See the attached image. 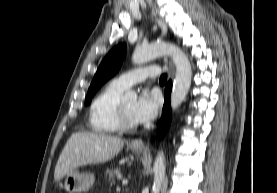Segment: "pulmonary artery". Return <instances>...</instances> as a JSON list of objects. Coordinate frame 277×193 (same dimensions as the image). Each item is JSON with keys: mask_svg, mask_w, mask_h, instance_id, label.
Returning a JSON list of instances; mask_svg holds the SVG:
<instances>
[{"mask_svg": "<svg viewBox=\"0 0 277 193\" xmlns=\"http://www.w3.org/2000/svg\"><path fill=\"white\" fill-rule=\"evenodd\" d=\"M158 74L159 68L157 66H148L123 73L117 76L112 82L125 90L137 83L145 81L147 78H155Z\"/></svg>", "mask_w": 277, "mask_h": 193, "instance_id": "1", "label": "pulmonary artery"}]
</instances>
